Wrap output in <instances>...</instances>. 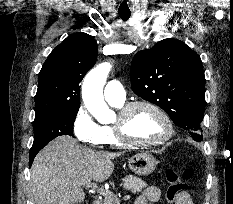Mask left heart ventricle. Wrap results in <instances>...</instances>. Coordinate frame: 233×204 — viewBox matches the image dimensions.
<instances>
[{
	"label": "left heart ventricle",
	"instance_id": "1",
	"mask_svg": "<svg viewBox=\"0 0 233 204\" xmlns=\"http://www.w3.org/2000/svg\"><path fill=\"white\" fill-rule=\"evenodd\" d=\"M127 134L135 140L153 141L166 133V125L157 113L146 107L135 109L126 125Z\"/></svg>",
	"mask_w": 233,
	"mask_h": 204
}]
</instances>
